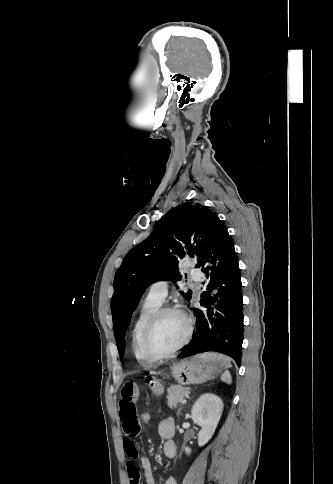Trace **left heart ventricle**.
Returning <instances> with one entry per match:
<instances>
[{"mask_svg":"<svg viewBox=\"0 0 333 484\" xmlns=\"http://www.w3.org/2000/svg\"><path fill=\"white\" fill-rule=\"evenodd\" d=\"M186 330V322L179 314L164 315L153 330L150 339L151 349L158 354L171 351L183 340Z\"/></svg>","mask_w":333,"mask_h":484,"instance_id":"1","label":"left heart ventricle"}]
</instances>
